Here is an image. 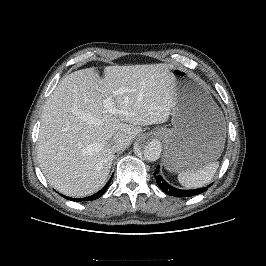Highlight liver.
<instances>
[{
    "label": "liver",
    "mask_w": 266,
    "mask_h": 266,
    "mask_svg": "<svg viewBox=\"0 0 266 266\" xmlns=\"http://www.w3.org/2000/svg\"><path fill=\"white\" fill-rule=\"evenodd\" d=\"M166 63L107 66L65 76L47 98L37 156L43 174L57 191L71 197L97 192L107 181L116 136L125 147L142 126L165 123L174 106V76ZM111 97L117 114L103 100Z\"/></svg>",
    "instance_id": "liver-1"
}]
</instances>
